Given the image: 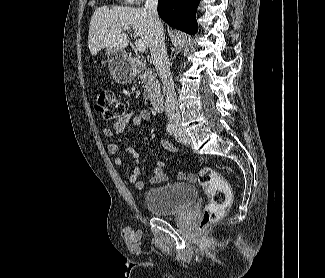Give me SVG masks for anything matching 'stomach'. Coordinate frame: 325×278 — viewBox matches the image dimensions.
<instances>
[{
    "mask_svg": "<svg viewBox=\"0 0 325 278\" xmlns=\"http://www.w3.org/2000/svg\"><path fill=\"white\" fill-rule=\"evenodd\" d=\"M109 69L114 80L119 84H128L135 78V71L123 49L106 48Z\"/></svg>",
    "mask_w": 325,
    "mask_h": 278,
    "instance_id": "stomach-1",
    "label": "stomach"
}]
</instances>
